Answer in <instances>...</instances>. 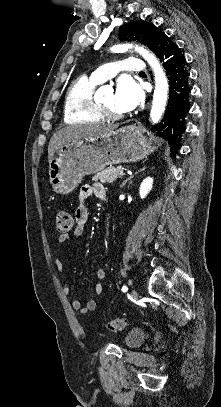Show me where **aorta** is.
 Wrapping results in <instances>:
<instances>
[{"mask_svg":"<svg viewBox=\"0 0 221 407\" xmlns=\"http://www.w3.org/2000/svg\"><path fill=\"white\" fill-rule=\"evenodd\" d=\"M131 44H123L114 46L112 48L113 52H124L131 48ZM135 50L140 53L144 59L150 64L155 74V90L153 94L152 107L150 111V118L153 123H157L165 110L167 98H168V81L163 72V69L160 67L159 62L156 57L149 53L143 47H135ZM106 87H100L96 92L95 96L101 98L102 95L106 92Z\"/></svg>","mask_w":221,"mask_h":407,"instance_id":"aorta-1","label":"aorta"}]
</instances>
